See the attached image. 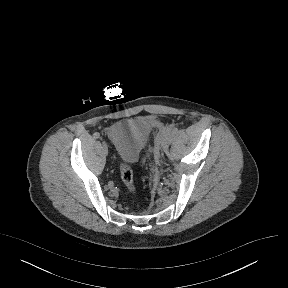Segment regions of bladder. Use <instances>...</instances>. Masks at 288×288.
I'll return each mask as SVG.
<instances>
[{
	"label": "bladder",
	"mask_w": 288,
	"mask_h": 288,
	"mask_svg": "<svg viewBox=\"0 0 288 288\" xmlns=\"http://www.w3.org/2000/svg\"><path fill=\"white\" fill-rule=\"evenodd\" d=\"M151 125L147 119L138 118L132 121L116 123L107 131L118 156L127 162L135 161L139 151L147 141Z\"/></svg>",
	"instance_id": "bladder-1"
}]
</instances>
